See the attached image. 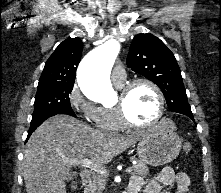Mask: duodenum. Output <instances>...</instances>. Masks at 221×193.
<instances>
[{"instance_id": "duodenum-1", "label": "duodenum", "mask_w": 221, "mask_h": 193, "mask_svg": "<svg viewBox=\"0 0 221 193\" xmlns=\"http://www.w3.org/2000/svg\"><path fill=\"white\" fill-rule=\"evenodd\" d=\"M91 178H92V175L89 170L84 169L81 171L80 179L86 188L89 187V185L91 183ZM123 193H136V191L133 189H128V190H125Z\"/></svg>"}]
</instances>
